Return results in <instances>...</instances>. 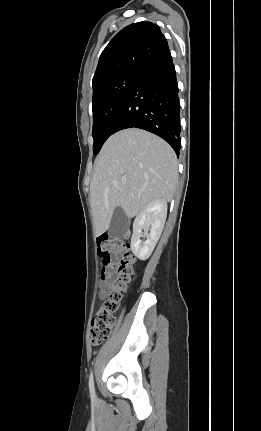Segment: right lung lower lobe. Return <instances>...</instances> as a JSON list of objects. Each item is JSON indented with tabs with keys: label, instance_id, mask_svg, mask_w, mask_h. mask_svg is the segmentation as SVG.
<instances>
[{
	"label": "right lung lower lobe",
	"instance_id": "right-lung-lower-lobe-1",
	"mask_svg": "<svg viewBox=\"0 0 261 431\" xmlns=\"http://www.w3.org/2000/svg\"><path fill=\"white\" fill-rule=\"evenodd\" d=\"M180 104L176 71L168 49L139 72L112 127V134L140 128L166 140L180 153Z\"/></svg>",
	"mask_w": 261,
	"mask_h": 431
}]
</instances>
